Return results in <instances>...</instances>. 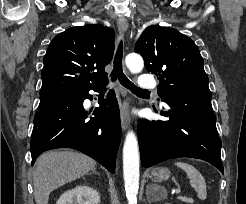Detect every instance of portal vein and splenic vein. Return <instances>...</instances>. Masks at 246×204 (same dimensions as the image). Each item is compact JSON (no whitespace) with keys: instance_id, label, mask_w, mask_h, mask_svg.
<instances>
[{"instance_id":"portal-vein-and-splenic-vein-1","label":"portal vein and splenic vein","mask_w":246,"mask_h":204,"mask_svg":"<svg viewBox=\"0 0 246 204\" xmlns=\"http://www.w3.org/2000/svg\"><path fill=\"white\" fill-rule=\"evenodd\" d=\"M175 192H176V194H179V193H181V189L177 188V189H175Z\"/></svg>"}]
</instances>
